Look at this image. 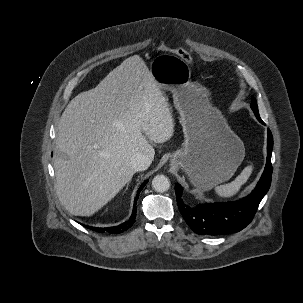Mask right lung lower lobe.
I'll use <instances>...</instances> for the list:
<instances>
[{
  "instance_id": "right-lung-lower-lobe-1",
  "label": "right lung lower lobe",
  "mask_w": 303,
  "mask_h": 303,
  "mask_svg": "<svg viewBox=\"0 0 303 303\" xmlns=\"http://www.w3.org/2000/svg\"><path fill=\"white\" fill-rule=\"evenodd\" d=\"M147 182H148V180L143 182V184L139 187V190L137 193V198L139 196L140 191L146 185ZM135 218H136V202L134 203L133 212H132L130 219L128 221L122 223L121 225L109 227V228H98V227H90V226H85V227L90 228L91 230H94L99 233L106 232V233L118 234V233H122V232L126 231L127 229H129L132 226V224L135 222Z\"/></svg>"
}]
</instances>
